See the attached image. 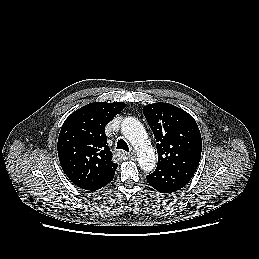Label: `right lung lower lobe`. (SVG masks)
<instances>
[{"label": "right lung lower lobe", "mask_w": 259, "mask_h": 259, "mask_svg": "<svg viewBox=\"0 0 259 259\" xmlns=\"http://www.w3.org/2000/svg\"><path fill=\"white\" fill-rule=\"evenodd\" d=\"M115 174V173H114ZM114 174H111L109 177H107L106 179H104L103 181H101L100 183L93 185L89 188H86L85 190H92V191H96L102 187H104L105 185H107L109 182H111L113 180Z\"/></svg>", "instance_id": "98d812e1"}]
</instances>
